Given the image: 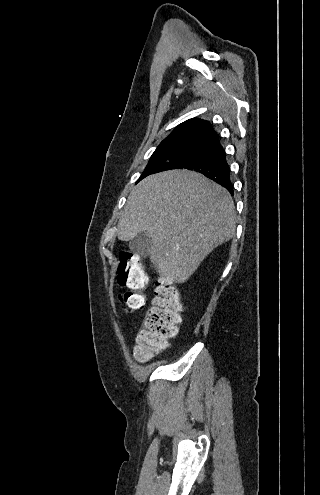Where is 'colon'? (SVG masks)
Wrapping results in <instances>:
<instances>
[{
    "mask_svg": "<svg viewBox=\"0 0 320 495\" xmlns=\"http://www.w3.org/2000/svg\"><path fill=\"white\" fill-rule=\"evenodd\" d=\"M117 280L120 286L128 289L120 294L126 312L143 309L145 300L142 291L148 286L149 278L136 255L127 251L120 253ZM181 311L182 303L176 287L172 282L160 279L136 338L134 357L137 361H146L166 347L167 340L178 332Z\"/></svg>",
    "mask_w": 320,
    "mask_h": 495,
    "instance_id": "colon-1",
    "label": "colon"
}]
</instances>
